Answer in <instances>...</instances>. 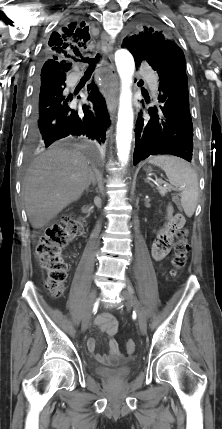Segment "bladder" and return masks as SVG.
I'll list each match as a JSON object with an SVG mask.
<instances>
[{"mask_svg": "<svg viewBox=\"0 0 222 429\" xmlns=\"http://www.w3.org/2000/svg\"><path fill=\"white\" fill-rule=\"evenodd\" d=\"M132 365L117 367V368H107L97 366L94 368V373L103 379L110 381H121L128 378L132 373Z\"/></svg>", "mask_w": 222, "mask_h": 429, "instance_id": "bladder-1", "label": "bladder"}]
</instances>
